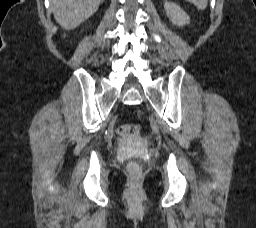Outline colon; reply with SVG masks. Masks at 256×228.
<instances>
[{"instance_id": "1", "label": "colon", "mask_w": 256, "mask_h": 228, "mask_svg": "<svg viewBox=\"0 0 256 228\" xmlns=\"http://www.w3.org/2000/svg\"><path fill=\"white\" fill-rule=\"evenodd\" d=\"M139 131L140 125L138 124H122L117 128L118 135L122 137H134L139 133ZM128 172L133 183L139 181L141 176V168L137 162L133 161L128 164Z\"/></svg>"}]
</instances>
